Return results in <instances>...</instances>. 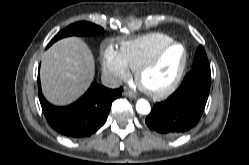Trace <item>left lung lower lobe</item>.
Here are the masks:
<instances>
[{"label": "left lung lower lobe", "instance_id": "obj_1", "mask_svg": "<svg viewBox=\"0 0 249 165\" xmlns=\"http://www.w3.org/2000/svg\"><path fill=\"white\" fill-rule=\"evenodd\" d=\"M210 82L211 71L191 70L171 96L154 105L146 117L147 126L167 137H177L189 131L202 116Z\"/></svg>", "mask_w": 249, "mask_h": 165}]
</instances>
